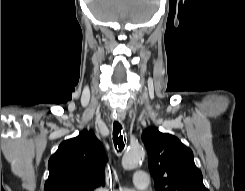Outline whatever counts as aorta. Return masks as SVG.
<instances>
[{"label": "aorta", "instance_id": "1", "mask_svg": "<svg viewBox=\"0 0 245 191\" xmlns=\"http://www.w3.org/2000/svg\"><path fill=\"white\" fill-rule=\"evenodd\" d=\"M145 157V150L141 145L131 146L123 155L122 166L126 170L134 169Z\"/></svg>", "mask_w": 245, "mask_h": 191}]
</instances>
